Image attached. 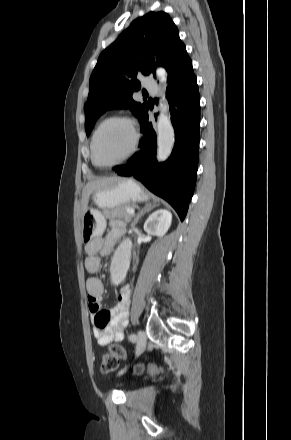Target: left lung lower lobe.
I'll use <instances>...</instances> for the list:
<instances>
[{"instance_id": "obj_1", "label": "left lung lower lobe", "mask_w": 291, "mask_h": 440, "mask_svg": "<svg viewBox=\"0 0 291 440\" xmlns=\"http://www.w3.org/2000/svg\"><path fill=\"white\" fill-rule=\"evenodd\" d=\"M167 97L175 129V145L164 163L156 160V134L148 111L140 140L141 150L125 165L113 170L120 176H133L150 191L168 201L183 221L196 183L199 156L200 96L192 61L187 52L168 72ZM156 117V115H155Z\"/></svg>"}]
</instances>
